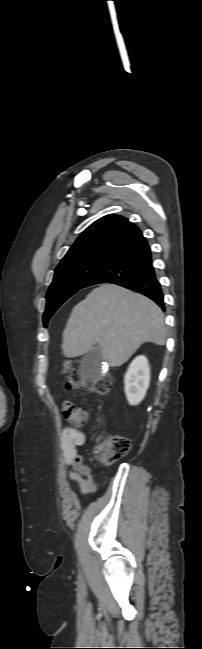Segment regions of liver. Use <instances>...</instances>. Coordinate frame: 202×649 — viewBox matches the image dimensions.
Returning <instances> with one entry per match:
<instances>
[{
  "mask_svg": "<svg viewBox=\"0 0 202 649\" xmlns=\"http://www.w3.org/2000/svg\"><path fill=\"white\" fill-rule=\"evenodd\" d=\"M164 314L149 298L114 284L91 291L72 309L62 333L63 355L81 356L99 344L109 366L125 363L146 342H166ZM65 361L63 373L70 368Z\"/></svg>",
  "mask_w": 202,
  "mask_h": 649,
  "instance_id": "liver-1",
  "label": "liver"
}]
</instances>
